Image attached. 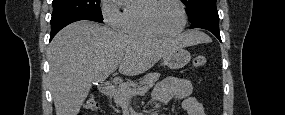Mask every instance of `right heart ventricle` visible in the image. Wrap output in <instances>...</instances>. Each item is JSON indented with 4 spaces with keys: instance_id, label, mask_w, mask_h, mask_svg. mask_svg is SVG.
<instances>
[{
    "instance_id": "e07e8e85",
    "label": "right heart ventricle",
    "mask_w": 285,
    "mask_h": 115,
    "mask_svg": "<svg viewBox=\"0 0 285 115\" xmlns=\"http://www.w3.org/2000/svg\"><path fill=\"white\" fill-rule=\"evenodd\" d=\"M150 0H133L127 3L117 22V27L124 33L140 37L154 38L158 35L152 32L144 21V10Z\"/></svg>"
}]
</instances>
